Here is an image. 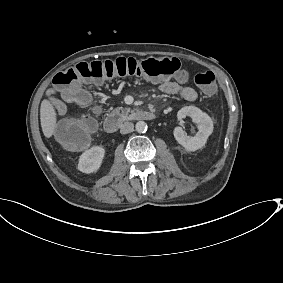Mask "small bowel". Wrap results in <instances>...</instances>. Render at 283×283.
Here are the masks:
<instances>
[{
	"label": "small bowel",
	"mask_w": 283,
	"mask_h": 283,
	"mask_svg": "<svg viewBox=\"0 0 283 283\" xmlns=\"http://www.w3.org/2000/svg\"><path fill=\"white\" fill-rule=\"evenodd\" d=\"M188 74L185 71L178 72L173 81H163L159 84L160 91L166 94H179L182 98L188 101H193L197 98V91L192 86L187 85ZM56 88H52L48 91L49 100L58 116H62L66 113L67 107L63 100L57 98Z\"/></svg>",
	"instance_id": "1"
}]
</instances>
